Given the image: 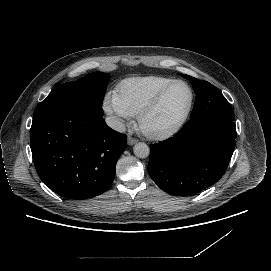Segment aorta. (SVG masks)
<instances>
[{
    "label": "aorta",
    "mask_w": 271,
    "mask_h": 271,
    "mask_svg": "<svg viewBox=\"0 0 271 271\" xmlns=\"http://www.w3.org/2000/svg\"><path fill=\"white\" fill-rule=\"evenodd\" d=\"M134 154L140 159H145L150 155V148L145 143H138L134 146Z\"/></svg>",
    "instance_id": "762f6f07"
}]
</instances>
